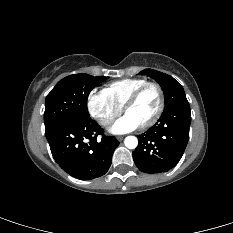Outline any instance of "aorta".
Here are the masks:
<instances>
[{
  "label": "aorta",
  "mask_w": 233,
  "mask_h": 233,
  "mask_svg": "<svg viewBox=\"0 0 233 233\" xmlns=\"http://www.w3.org/2000/svg\"><path fill=\"white\" fill-rule=\"evenodd\" d=\"M124 144L129 149H135L138 145V139L135 136H127L124 140Z\"/></svg>",
  "instance_id": "1"
}]
</instances>
